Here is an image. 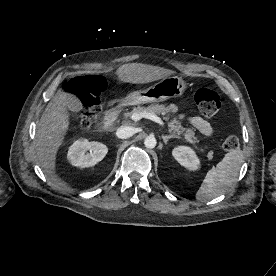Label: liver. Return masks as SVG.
Masks as SVG:
<instances>
[{"label":"liver","instance_id":"liver-1","mask_svg":"<svg viewBox=\"0 0 276 276\" xmlns=\"http://www.w3.org/2000/svg\"><path fill=\"white\" fill-rule=\"evenodd\" d=\"M169 69L142 64L130 63L120 66L116 75L121 82L144 84L173 75ZM74 95L59 89L45 108L36 132L35 151L41 168L49 180L69 191L70 187L55 174L56 154L62 145L70 125L68 102Z\"/></svg>","mask_w":276,"mask_h":276}]
</instances>
